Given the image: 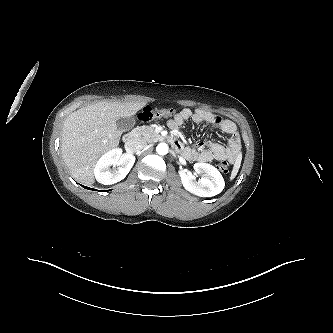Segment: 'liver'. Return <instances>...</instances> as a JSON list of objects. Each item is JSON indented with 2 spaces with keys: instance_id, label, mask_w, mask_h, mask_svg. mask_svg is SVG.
<instances>
[{
  "instance_id": "6515ba94",
  "label": "liver",
  "mask_w": 333,
  "mask_h": 333,
  "mask_svg": "<svg viewBox=\"0 0 333 333\" xmlns=\"http://www.w3.org/2000/svg\"><path fill=\"white\" fill-rule=\"evenodd\" d=\"M145 105V102L100 101L78 109L65 119L61 133L62 159L77 181L94 183L98 159L119 145L122 132L117 129V119L130 117Z\"/></svg>"
}]
</instances>
